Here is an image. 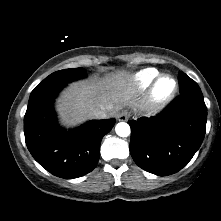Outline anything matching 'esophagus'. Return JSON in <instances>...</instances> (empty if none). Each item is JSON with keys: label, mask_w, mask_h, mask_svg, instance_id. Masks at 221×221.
<instances>
[{"label": "esophagus", "mask_w": 221, "mask_h": 221, "mask_svg": "<svg viewBox=\"0 0 221 221\" xmlns=\"http://www.w3.org/2000/svg\"><path fill=\"white\" fill-rule=\"evenodd\" d=\"M128 118H129V113L127 111H122L117 116L118 121H127Z\"/></svg>", "instance_id": "obj_1"}]
</instances>
